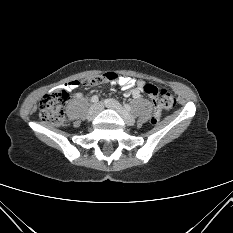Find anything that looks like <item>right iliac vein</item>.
Masks as SVG:
<instances>
[{"label": "right iliac vein", "instance_id": "1", "mask_svg": "<svg viewBox=\"0 0 233 233\" xmlns=\"http://www.w3.org/2000/svg\"><path fill=\"white\" fill-rule=\"evenodd\" d=\"M101 111V105L99 103L93 104L88 111L87 119L92 120Z\"/></svg>", "mask_w": 233, "mask_h": 233}]
</instances>
